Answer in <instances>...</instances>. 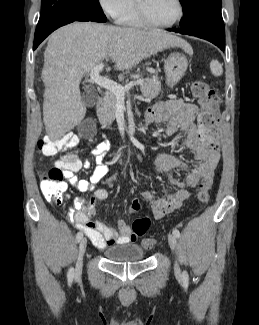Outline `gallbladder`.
Returning a JSON list of instances; mask_svg holds the SVG:
<instances>
[{
  "label": "gallbladder",
  "mask_w": 259,
  "mask_h": 325,
  "mask_svg": "<svg viewBox=\"0 0 259 325\" xmlns=\"http://www.w3.org/2000/svg\"><path fill=\"white\" fill-rule=\"evenodd\" d=\"M97 100H98V96L93 91L87 90L82 93V101L86 107L95 106ZM95 127H96V122L91 119L87 121H82L79 130V135L81 136L82 139H95L96 138Z\"/></svg>",
  "instance_id": "gallbladder-1"
}]
</instances>
